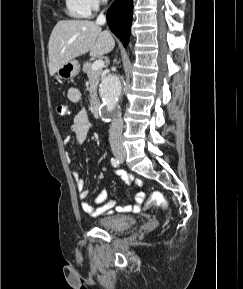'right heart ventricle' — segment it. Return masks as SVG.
I'll return each instance as SVG.
<instances>
[{
  "label": "right heart ventricle",
  "mask_w": 243,
  "mask_h": 289,
  "mask_svg": "<svg viewBox=\"0 0 243 289\" xmlns=\"http://www.w3.org/2000/svg\"><path fill=\"white\" fill-rule=\"evenodd\" d=\"M66 1V8H67V12L73 16V17H85V13L78 8V6L75 4V2L73 0H65Z\"/></svg>",
  "instance_id": "right-heart-ventricle-1"
}]
</instances>
